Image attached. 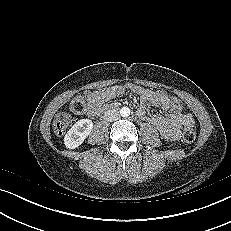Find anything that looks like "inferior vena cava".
I'll return each instance as SVG.
<instances>
[{"label": "inferior vena cava", "mask_w": 231, "mask_h": 231, "mask_svg": "<svg viewBox=\"0 0 231 231\" xmlns=\"http://www.w3.org/2000/svg\"><path fill=\"white\" fill-rule=\"evenodd\" d=\"M120 118L119 111L116 109H109L104 112V119L108 122L116 121Z\"/></svg>", "instance_id": "obj_1"}]
</instances>
